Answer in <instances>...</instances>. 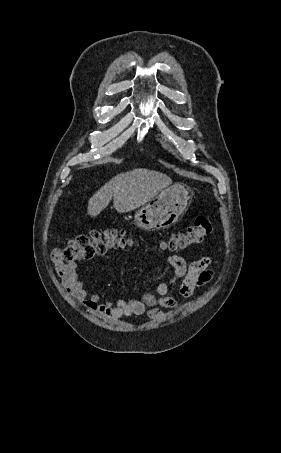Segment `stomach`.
Masks as SVG:
<instances>
[{
	"label": "stomach",
	"instance_id": "0dacf381",
	"mask_svg": "<svg viewBox=\"0 0 281 453\" xmlns=\"http://www.w3.org/2000/svg\"><path fill=\"white\" fill-rule=\"evenodd\" d=\"M192 198L191 190L185 184L176 182L160 190L154 198L138 208L134 214V222L144 231H161L170 229L187 210Z\"/></svg>",
	"mask_w": 281,
	"mask_h": 453
}]
</instances>
